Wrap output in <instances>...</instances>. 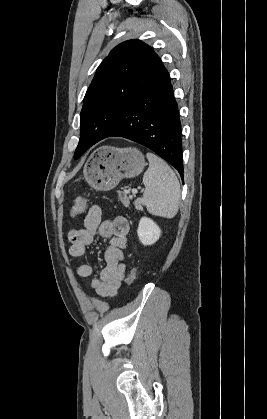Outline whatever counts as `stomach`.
Masks as SVG:
<instances>
[{
	"instance_id": "1",
	"label": "stomach",
	"mask_w": 267,
	"mask_h": 419,
	"mask_svg": "<svg viewBox=\"0 0 267 419\" xmlns=\"http://www.w3.org/2000/svg\"><path fill=\"white\" fill-rule=\"evenodd\" d=\"M146 166L136 148L102 146L91 153L83 168V178L95 190L108 191L123 178L138 176Z\"/></svg>"
}]
</instances>
